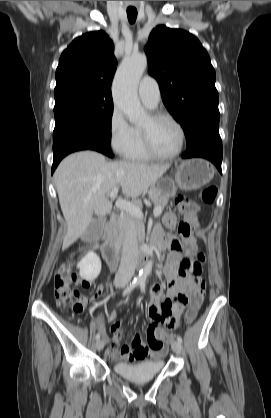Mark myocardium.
<instances>
[{
  "instance_id": "myocardium-1",
  "label": "myocardium",
  "mask_w": 271,
  "mask_h": 418,
  "mask_svg": "<svg viewBox=\"0 0 271 418\" xmlns=\"http://www.w3.org/2000/svg\"><path fill=\"white\" fill-rule=\"evenodd\" d=\"M150 118L153 121L160 120V119H167V120L171 121L177 127V129L179 131L180 143H179L178 149L175 152H173L171 154H162V153L158 152L155 149V147L153 146L149 131L145 128H141V134H142L143 142H144V145H145V148H146L147 152L152 157L157 158V159L169 160V159L176 158L183 151V148H184L185 142H186V133H185V130H184L182 124L171 114H169L167 112H162V111H157V112L152 113L150 115Z\"/></svg>"
}]
</instances>
